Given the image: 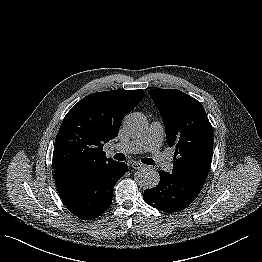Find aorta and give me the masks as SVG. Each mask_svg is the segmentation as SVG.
I'll use <instances>...</instances> for the list:
<instances>
[{
	"mask_svg": "<svg viewBox=\"0 0 262 262\" xmlns=\"http://www.w3.org/2000/svg\"><path fill=\"white\" fill-rule=\"evenodd\" d=\"M123 127L130 136L138 137L146 129V119L140 113H129L123 120ZM134 179L142 188L151 189L158 185L160 175L153 168H143L135 173Z\"/></svg>",
	"mask_w": 262,
	"mask_h": 262,
	"instance_id": "obj_1",
	"label": "aorta"
}]
</instances>
